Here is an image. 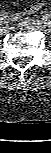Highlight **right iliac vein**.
<instances>
[{
  "instance_id": "63e3f726",
  "label": "right iliac vein",
  "mask_w": 51,
  "mask_h": 153,
  "mask_svg": "<svg viewBox=\"0 0 51 153\" xmlns=\"http://www.w3.org/2000/svg\"><path fill=\"white\" fill-rule=\"evenodd\" d=\"M8 31H9V26H8V25H2V26L0 27V33H1L2 35L6 34Z\"/></svg>"
}]
</instances>
